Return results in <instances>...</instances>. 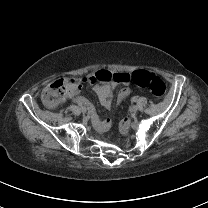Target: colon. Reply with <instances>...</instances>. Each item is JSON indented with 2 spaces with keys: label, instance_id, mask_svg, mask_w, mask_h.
Listing matches in <instances>:
<instances>
[{
  "label": "colon",
  "instance_id": "5ec220e1",
  "mask_svg": "<svg viewBox=\"0 0 208 208\" xmlns=\"http://www.w3.org/2000/svg\"><path fill=\"white\" fill-rule=\"evenodd\" d=\"M127 79H120L108 70H101L94 73L87 81L77 77L64 78L47 84L42 91V98L48 107H55L62 102L70 101L75 93H80L85 85H93L103 82L124 83ZM132 81L140 88L146 89L154 98H163L166 93L164 81L157 75L147 71H135L132 74ZM119 127L123 131H128L132 127V122L128 118H123L119 122Z\"/></svg>",
  "mask_w": 208,
  "mask_h": 208
}]
</instances>
